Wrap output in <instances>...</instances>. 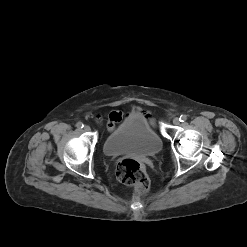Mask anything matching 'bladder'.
Masks as SVG:
<instances>
[{"label":"bladder","mask_w":247,"mask_h":247,"mask_svg":"<svg viewBox=\"0 0 247 247\" xmlns=\"http://www.w3.org/2000/svg\"><path fill=\"white\" fill-rule=\"evenodd\" d=\"M161 149L162 141L159 135L141 112L127 116L103 142L104 153L111 157L125 154L154 156Z\"/></svg>","instance_id":"1"}]
</instances>
